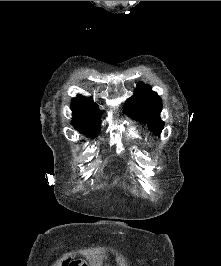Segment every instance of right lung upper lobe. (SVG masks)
Wrapping results in <instances>:
<instances>
[{
	"label": "right lung upper lobe",
	"mask_w": 221,
	"mask_h": 266,
	"mask_svg": "<svg viewBox=\"0 0 221 266\" xmlns=\"http://www.w3.org/2000/svg\"><path fill=\"white\" fill-rule=\"evenodd\" d=\"M71 109L74 116L83 118H97L99 110L96 103L91 98L78 96L71 102Z\"/></svg>",
	"instance_id": "obj_1"
}]
</instances>
